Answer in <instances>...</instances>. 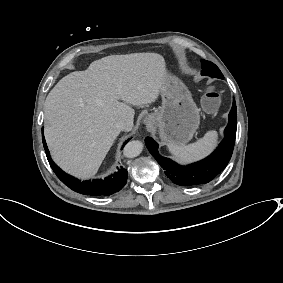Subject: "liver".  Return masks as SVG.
I'll list each match as a JSON object with an SVG mask.
<instances>
[{
  "label": "liver",
  "instance_id": "6515ba94",
  "mask_svg": "<svg viewBox=\"0 0 283 283\" xmlns=\"http://www.w3.org/2000/svg\"><path fill=\"white\" fill-rule=\"evenodd\" d=\"M166 77L157 53L110 55L63 77L44 110L45 139L56 164L78 178L94 176L120 133L115 124L124 120L133 127L135 111L128 104L154 102Z\"/></svg>",
  "mask_w": 283,
  "mask_h": 283
}]
</instances>
